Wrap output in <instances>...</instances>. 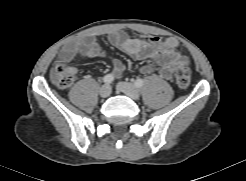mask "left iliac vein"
<instances>
[{
	"instance_id": "left-iliac-vein-1",
	"label": "left iliac vein",
	"mask_w": 246,
	"mask_h": 181,
	"mask_svg": "<svg viewBox=\"0 0 246 181\" xmlns=\"http://www.w3.org/2000/svg\"><path fill=\"white\" fill-rule=\"evenodd\" d=\"M118 89L133 100H138L140 97L139 90L131 83L119 82Z\"/></svg>"
}]
</instances>
